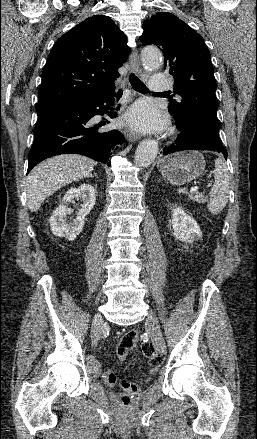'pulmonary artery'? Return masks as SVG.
Segmentation results:
<instances>
[{
	"label": "pulmonary artery",
	"mask_w": 257,
	"mask_h": 439,
	"mask_svg": "<svg viewBox=\"0 0 257 439\" xmlns=\"http://www.w3.org/2000/svg\"><path fill=\"white\" fill-rule=\"evenodd\" d=\"M150 90L155 93H166L169 89L167 76L162 73H156L151 76L149 82Z\"/></svg>",
	"instance_id": "e3ab8cb5"
}]
</instances>
